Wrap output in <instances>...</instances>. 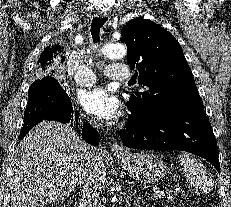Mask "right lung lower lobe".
<instances>
[{
	"instance_id": "right-lung-lower-lobe-1",
	"label": "right lung lower lobe",
	"mask_w": 231,
	"mask_h": 207,
	"mask_svg": "<svg viewBox=\"0 0 231 207\" xmlns=\"http://www.w3.org/2000/svg\"><path fill=\"white\" fill-rule=\"evenodd\" d=\"M39 81L31 85L33 96L29 98V104L24 113V125L19 135L20 139L43 120L78 123V112L75 111L74 114L70 98L57 80L49 77ZM82 136L92 145L99 144L96 130L87 122L83 125Z\"/></svg>"
}]
</instances>
